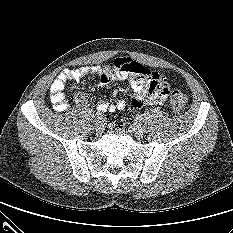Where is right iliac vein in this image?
Wrapping results in <instances>:
<instances>
[{
    "mask_svg": "<svg viewBox=\"0 0 233 233\" xmlns=\"http://www.w3.org/2000/svg\"><path fill=\"white\" fill-rule=\"evenodd\" d=\"M95 130L97 133H102L104 130V122L103 120H97L95 123Z\"/></svg>",
    "mask_w": 233,
    "mask_h": 233,
    "instance_id": "obj_1",
    "label": "right iliac vein"
}]
</instances>
